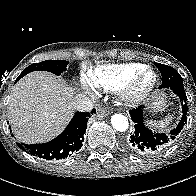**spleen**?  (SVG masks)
I'll list each match as a JSON object with an SVG mask.
<instances>
[{"label":"spleen","mask_w":196,"mask_h":196,"mask_svg":"<svg viewBox=\"0 0 196 196\" xmlns=\"http://www.w3.org/2000/svg\"><path fill=\"white\" fill-rule=\"evenodd\" d=\"M172 121V117L171 116H167L166 118H164L163 120H159V121H153V120H149L147 122V124L156 130H163L164 128H166L170 122Z\"/></svg>","instance_id":"spleen-1"}]
</instances>
